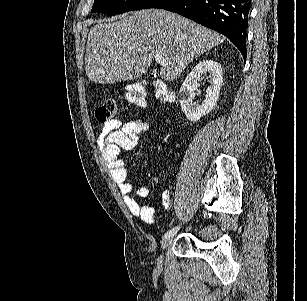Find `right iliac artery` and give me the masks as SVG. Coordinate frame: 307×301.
I'll list each match as a JSON object with an SVG mask.
<instances>
[{
  "mask_svg": "<svg viewBox=\"0 0 307 301\" xmlns=\"http://www.w3.org/2000/svg\"><path fill=\"white\" fill-rule=\"evenodd\" d=\"M178 230H179V227H175V228L167 231L164 236L167 237V236L174 235Z\"/></svg>",
  "mask_w": 307,
  "mask_h": 301,
  "instance_id": "right-iliac-artery-1",
  "label": "right iliac artery"
}]
</instances>
